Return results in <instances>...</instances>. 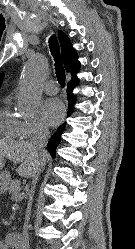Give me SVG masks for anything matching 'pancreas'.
Returning a JSON list of instances; mask_svg holds the SVG:
<instances>
[{
	"instance_id": "1",
	"label": "pancreas",
	"mask_w": 135,
	"mask_h": 249,
	"mask_svg": "<svg viewBox=\"0 0 135 249\" xmlns=\"http://www.w3.org/2000/svg\"><path fill=\"white\" fill-rule=\"evenodd\" d=\"M21 190L20 181L19 180H13L11 181L8 192L12 195L13 200H15V197L19 195V192Z\"/></svg>"
}]
</instances>
